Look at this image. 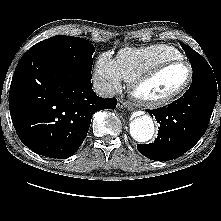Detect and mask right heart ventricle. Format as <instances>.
Wrapping results in <instances>:
<instances>
[{
  "label": "right heart ventricle",
  "instance_id": "e07e8e85",
  "mask_svg": "<svg viewBox=\"0 0 221 221\" xmlns=\"http://www.w3.org/2000/svg\"><path fill=\"white\" fill-rule=\"evenodd\" d=\"M173 59H183V55L177 48L156 44L120 50L116 65L121 78L127 82H133L156 65Z\"/></svg>",
  "mask_w": 221,
  "mask_h": 221
}]
</instances>
